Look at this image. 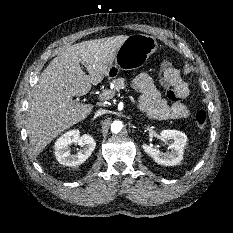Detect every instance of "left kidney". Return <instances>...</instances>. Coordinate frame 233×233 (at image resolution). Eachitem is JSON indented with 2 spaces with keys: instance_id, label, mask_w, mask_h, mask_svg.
<instances>
[{
  "instance_id": "obj_1",
  "label": "left kidney",
  "mask_w": 233,
  "mask_h": 233,
  "mask_svg": "<svg viewBox=\"0 0 233 233\" xmlns=\"http://www.w3.org/2000/svg\"><path fill=\"white\" fill-rule=\"evenodd\" d=\"M160 135L164 139L172 140L169 152L163 153L146 143L142 144L143 150L158 164L165 166L178 165L183 160L184 148L187 142L186 134L178 130H162Z\"/></svg>"
}]
</instances>
